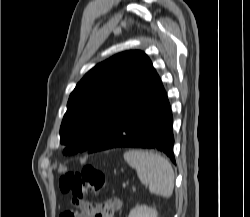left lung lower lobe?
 <instances>
[{"label": "left lung lower lobe", "instance_id": "0a47b994", "mask_svg": "<svg viewBox=\"0 0 250 217\" xmlns=\"http://www.w3.org/2000/svg\"><path fill=\"white\" fill-rule=\"evenodd\" d=\"M173 117L162 82L153 68L88 153L118 147L157 149L173 163Z\"/></svg>", "mask_w": 250, "mask_h": 217}]
</instances>
